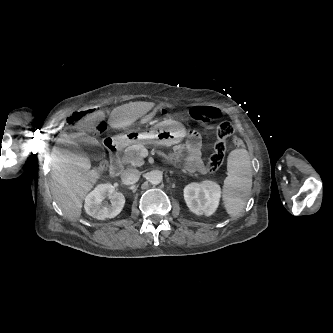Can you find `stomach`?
<instances>
[{
	"label": "stomach",
	"mask_w": 333,
	"mask_h": 333,
	"mask_svg": "<svg viewBox=\"0 0 333 333\" xmlns=\"http://www.w3.org/2000/svg\"><path fill=\"white\" fill-rule=\"evenodd\" d=\"M187 135L184 126L176 121L167 119L149 129H130L114 136L113 142L119 146L132 143L173 145L181 142Z\"/></svg>",
	"instance_id": "obj_1"
}]
</instances>
